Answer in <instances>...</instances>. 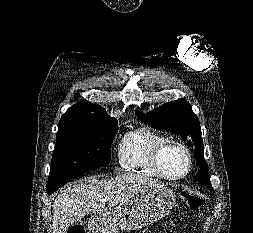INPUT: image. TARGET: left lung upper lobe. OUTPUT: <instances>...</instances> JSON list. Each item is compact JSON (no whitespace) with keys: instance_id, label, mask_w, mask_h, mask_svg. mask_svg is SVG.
<instances>
[{"instance_id":"5c2ea615","label":"left lung upper lobe","mask_w":253,"mask_h":233,"mask_svg":"<svg viewBox=\"0 0 253 233\" xmlns=\"http://www.w3.org/2000/svg\"><path fill=\"white\" fill-rule=\"evenodd\" d=\"M135 112L142 121L156 129L170 130L175 134H180L185 140L191 139L195 148V159L200 166L195 179L206 187L213 189L208 174V164L204 159L200 123L186 100L180 98L163 104L147 114L139 111Z\"/></svg>"}]
</instances>
